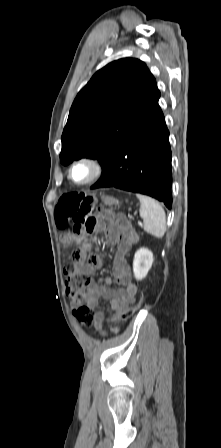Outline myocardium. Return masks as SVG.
<instances>
[{
	"instance_id": "obj_1",
	"label": "myocardium",
	"mask_w": 221,
	"mask_h": 448,
	"mask_svg": "<svg viewBox=\"0 0 221 448\" xmlns=\"http://www.w3.org/2000/svg\"><path fill=\"white\" fill-rule=\"evenodd\" d=\"M78 165H86L92 170V174L88 179L84 181H76L72 177V171ZM104 174H105V167L103 163L99 159L90 156L80 157L74 160L68 168L69 180L78 186H87L96 183L103 177Z\"/></svg>"
}]
</instances>
